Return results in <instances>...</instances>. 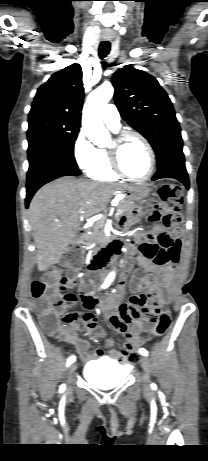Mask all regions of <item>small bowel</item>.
<instances>
[{
	"label": "small bowel",
	"mask_w": 208,
	"mask_h": 461,
	"mask_svg": "<svg viewBox=\"0 0 208 461\" xmlns=\"http://www.w3.org/2000/svg\"><path fill=\"white\" fill-rule=\"evenodd\" d=\"M142 208V204H130V214H122V222H131L132 217H141ZM181 239V229H158L159 249L167 251H140L137 257L138 264L148 274L136 270L128 275L125 270L117 289L101 300L95 298L96 289L93 288L95 272L91 273L90 279L86 277L81 279L80 295H77L76 291H62L60 298L65 309H76L78 303L82 302L87 312L83 315L75 312L59 313L58 323H69L61 327L60 339L74 346L84 360H93L102 356L101 349L91 350L89 343L80 336V333H85L95 338L106 337L105 330L98 325L96 315L93 313L100 307L116 332L123 334L127 340H142L140 332L154 325L159 307L170 300V288L175 271L178 264L182 262V253L185 251ZM127 252L135 253L133 244L127 246ZM67 262L65 278L70 280L73 286L77 271H80L82 266L77 256H68ZM128 288L134 294L127 302H122ZM107 343L109 346L112 345L110 340ZM110 356L122 362L136 360L135 352L128 353L123 348L112 350Z\"/></svg>",
	"instance_id": "obj_1"
}]
</instances>
